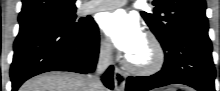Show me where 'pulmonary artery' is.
<instances>
[{
  "instance_id": "obj_1",
  "label": "pulmonary artery",
  "mask_w": 220,
  "mask_h": 91,
  "mask_svg": "<svg viewBox=\"0 0 220 91\" xmlns=\"http://www.w3.org/2000/svg\"><path fill=\"white\" fill-rule=\"evenodd\" d=\"M126 0H96L92 1L90 5L85 9V13H94L104 10H112L123 6Z\"/></svg>"
}]
</instances>
